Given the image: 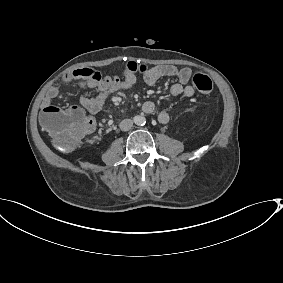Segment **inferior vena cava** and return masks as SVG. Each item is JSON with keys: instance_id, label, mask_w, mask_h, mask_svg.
<instances>
[{"instance_id": "602c4592", "label": "inferior vena cava", "mask_w": 283, "mask_h": 283, "mask_svg": "<svg viewBox=\"0 0 283 283\" xmlns=\"http://www.w3.org/2000/svg\"><path fill=\"white\" fill-rule=\"evenodd\" d=\"M119 126L122 131H128L132 128L133 121L131 119H124L120 122Z\"/></svg>"}]
</instances>
